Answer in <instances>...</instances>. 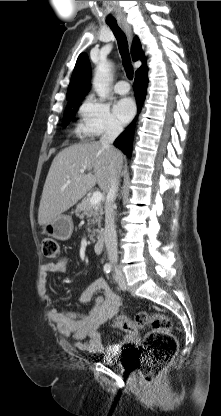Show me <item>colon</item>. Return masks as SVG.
I'll list each match as a JSON object with an SVG mask.
<instances>
[{"mask_svg": "<svg viewBox=\"0 0 221 416\" xmlns=\"http://www.w3.org/2000/svg\"><path fill=\"white\" fill-rule=\"evenodd\" d=\"M42 253L49 259L58 256V242L53 238H45L42 242ZM113 326L130 335H135L141 328L149 326L140 354V371L148 382L153 381L163 371L177 350L178 341L171 331V321L161 313L141 312L134 319L118 316Z\"/></svg>", "mask_w": 221, "mask_h": 416, "instance_id": "colon-1", "label": "colon"}]
</instances>
